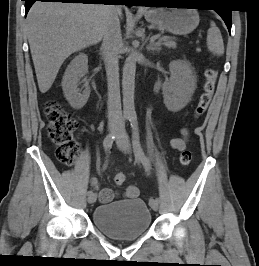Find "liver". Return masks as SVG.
<instances>
[{
  "label": "liver",
  "instance_id": "6515ba94",
  "mask_svg": "<svg viewBox=\"0 0 259 266\" xmlns=\"http://www.w3.org/2000/svg\"><path fill=\"white\" fill-rule=\"evenodd\" d=\"M109 9L103 4H33L27 15V37L41 93L51 88L66 58L101 41Z\"/></svg>",
  "mask_w": 259,
  "mask_h": 266
}]
</instances>
